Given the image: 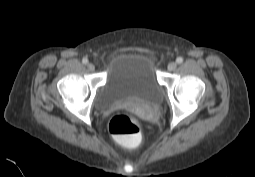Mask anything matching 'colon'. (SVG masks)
<instances>
[{"label": "colon", "instance_id": "5ec220e1", "mask_svg": "<svg viewBox=\"0 0 255 177\" xmlns=\"http://www.w3.org/2000/svg\"><path fill=\"white\" fill-rule=\"evenodd\" d=\"M109 131L122 144L128 147L136 146L141 139L138 122L132 116L125 113L117 114L111 118Z\"/></svg>", "mask_w": 255, "mask_h": 177}]
</instances>
